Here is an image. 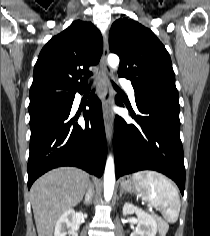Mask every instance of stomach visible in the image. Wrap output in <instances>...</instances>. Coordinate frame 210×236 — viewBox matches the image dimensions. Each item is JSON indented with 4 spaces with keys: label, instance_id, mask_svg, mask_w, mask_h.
Returning a JSON list of instances; mask_svg holds the SVG:
<instances>
[{
    "label": "stomach",
    "instance_id": "obj_1",
    "mask_svg": "<svg viewBox=\"0 0 210 236\" xmlns=\"http://www.w3.org/2000/svg\"><path fill=\"white\" fill-rule=\"evenodd\" d=\"M120 186L122 190L126 192H135L138 189L137 183L133 180V178H123L120 182Z\"/></svg>",
    "mask_w": 210,
    "mask_h": 236
}]
</instances>
